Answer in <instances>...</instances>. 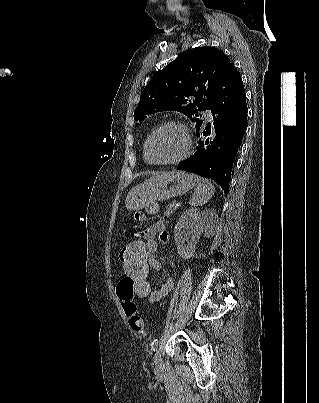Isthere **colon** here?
Instances as JSON below:
<instances>
[{
  "label": "colon",
  "instance_id": "5ec220e1",
  "mask_svg": "<svg viewBox=\"0 0 319 403\" xmlns=\"http://www.w3.org/2000/svg\"><path fill=\"white\" fill-rule=\"evenodd\" d=\"M135 218L140 220L142 214H136ZM119 256L122 276L116 277V289L120 298V307L128 317L130 333L133 336L145 337L143 318L135 299L143 300L144 296L152 295L153 286L150 282V258L147 242H143L142 238H133L132 242H125L124 245H121ZM131 284H135V299L130 290Z\"/></svg>",
  "mask_w": 319,
  "mask_h": 403
}]
</instances>
